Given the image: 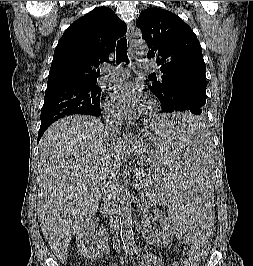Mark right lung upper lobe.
I'll use <instances>...</instances> for the list:
<instances>
[{
    "label": "right lung upper lobe",
    "instance_id": "1",
    "mask_svg": "<svg viewBox=\"0 0 253 266\" xmlns=\"http://www.w3.org/2000/svg\"><path fill=\"white\" fill-rule=\"evenodd\" d=\"M126 24L108 7H98L73 22L54 51L47 90L68 84L97 82L99 65L109 61Z\"/></svg>",
    "mask_w": 253,
    "mask_h": 266
}]
</instances>
